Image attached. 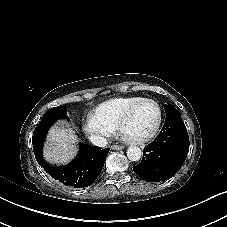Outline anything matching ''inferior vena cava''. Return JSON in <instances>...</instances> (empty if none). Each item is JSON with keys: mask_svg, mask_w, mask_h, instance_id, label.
<instances>
[{"mask_svg": "<svg viewBox=\"0 0 227 227\" xmlns=\"http://www.w3.org/2000/svg\"><path fill=\"white\" fill-rule=\"evenodd\" d=\"M90 139L91 142L96 146L105 147L107 145V139L102 136L92 135Z\"/></svg>", "mask_w": 227, "mask_h": 227, "instance_id": "inferior-vena-cava-1", "label": "inferior vena cava"}]
</instances>
